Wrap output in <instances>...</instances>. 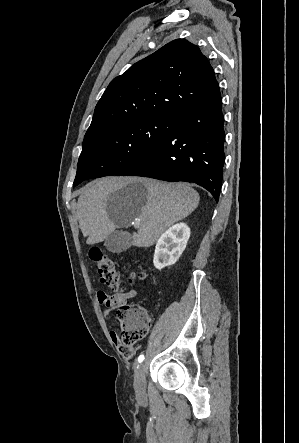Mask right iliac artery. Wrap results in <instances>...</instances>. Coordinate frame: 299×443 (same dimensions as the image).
<instances>
[{
    "instance_id": "82829eb1",
    "label": "right iliac artery",
    "mask_w": 299,
    "mask_h": 443,
    "mask_svg": "<svg viewBox=\"0 0 299 443\" xmlns=\"http://www.w3.org/2000/svg\"><path fill=\"white\" fill-rule=\"evenodd\" d=\"M143 360H144V355H140L138 357V362L141 363V362H143Z\"/></svg>"
}]
</instances>
